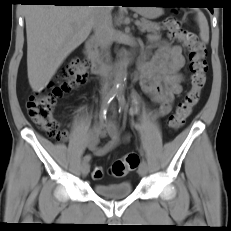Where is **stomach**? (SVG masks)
<instances>
[{
    "instance_id": "0dacf381",
    "label": "stomach",
    "mask_w": 231,
    "mask_h": 231,
    "mask_svg": "<svg viewBox=\"0 0 231 231\" xmlns=\"http://www.w3.org/2000/svg\"><path fill=\"white\" fill-rule=\"evenodd\" d=\"M136 11L141 14L143 17L148 18V19H153L157 17L158 13L160 12V8H150V7H136Z\"/></svg>"
}]
</instances>
